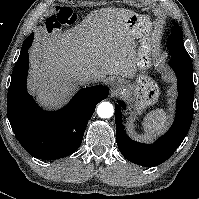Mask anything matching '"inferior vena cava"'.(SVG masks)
<instances>
[{
	"label": "inferior vena cava",
	"instance_id": "602c4592",
	"mask_svg": "<svg viewBox=\"0 0 199 199\" xmlns=\"http://www.w3.org/2000/svg\"><path fill=\"white\" fill-rule=\"evenodd\" d=\"M80 81L83 84H89V83H94L98 81V78L92 74L85 73L84 75L80 77Z\"/></svg>",
	"mask_w": 199,
	"mask_h": 199
}]
</instances>
